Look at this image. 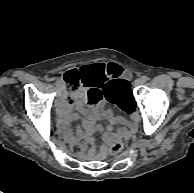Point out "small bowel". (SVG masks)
Masks as SVG:
<instances>
[{
    "mask_svg": "<svg viewBox=\"0 0 194 193\" xmlns=\"http://www.w3.org/2000/svg\"><path fill=\"white\" fill-rule=\"evenodd\" d=\"M120 73L121 70L118 65L109 63L89 67L81 73V91L73 97L71 103H63L61 105L59 124L66 136L70 135L69 124L77 118L75 111L83 114V127L86 132L94 130L96 118L104 117L109 121L106 135L108 137L113 135V126L123 120L111 110H102L100 108V88L111 83L112 79L120 76Z\"/></svg>",
    "mask_w": 194,
    "mask_h": 193,
    "instance_id": "1",
    "label": "small bowel"
}]
</instances>
